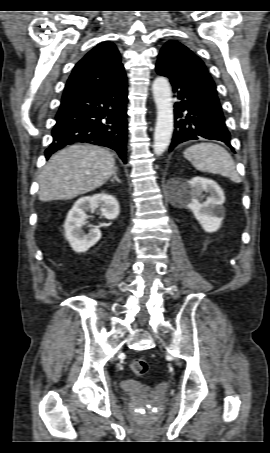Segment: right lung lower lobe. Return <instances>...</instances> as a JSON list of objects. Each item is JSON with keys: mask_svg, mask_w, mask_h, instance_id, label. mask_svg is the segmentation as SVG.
Masks as SVG:
<instances>
[{"mask_svg": "<svg viewBox=\"0 0 270 453\" xmlns=\"http://www.w3.org/2000/svg\"><path fill=\"white\" fill-rule=\"evenodd\" d=\"M126 104V75L101 91L62 98L46 159L67 145L87 142L114 149L126 163Z\"/></svg>", "mask_w": 270, "mask_h": 453, "instance_id": "obj_1", "label": "right lung lower lobe"}]
</instances>
